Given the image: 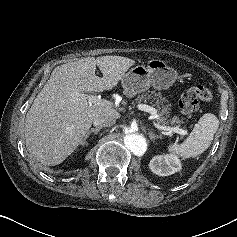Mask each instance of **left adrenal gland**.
I'll return each instance as SVG.
<instances>
[{
  "label": "left adrenal gland",
  "instance_id": "obj_1",
  "mask_svg": "<svg viewBox=\"0 0 237 237\" xmlns=\"http://www.w3.org/2000/svg\"><path fill=\"white\" fill-rule=\"evenodd\" d=\"M149 137L152 141H154L155 139H161L162 138L161 135H155L153 132H149Z\"/></svg>",
  "mask_w": 237,
  "mask_h": 237
}]
</instances>
